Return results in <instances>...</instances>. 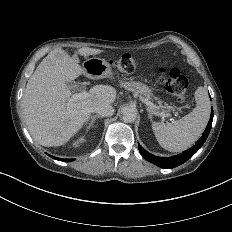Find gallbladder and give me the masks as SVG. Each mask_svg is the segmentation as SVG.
<instances>
[{"instance_id":"1","label":"gallbladder","mask_w":232,"mask_h":232,"mask_svg":"<svg viewBox=\"0 0 232 232\" xmlns=\"http://www.w3.org/2000/svg\"><path fill=\"white\" fill-rule=\"evenodd\" d=\"M68 86L73 87L75 90L84 91L85 90V84L84 83H75L72 82L67 83Z\"/></svg>"}]
</instances>
